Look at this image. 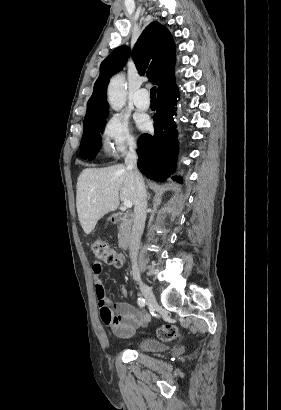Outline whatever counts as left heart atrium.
<instances>
[{
	"label": "left heart atrium",
	"mask_w": 281,
	"mask_h": 410,
	"mask_svg": "<svg viewBox=\"0 0 281 410\" xmlns=\"http://www.w3.org/2000/svg\"><path fill=\"white\" fill-rule=\"evenodd\" d=\"M149 124H150L149 121L147 119H144L140 122V127L143 129H146L148 128Z\"/></svg>",
	"instance_id": "1"
}]
</instances>
